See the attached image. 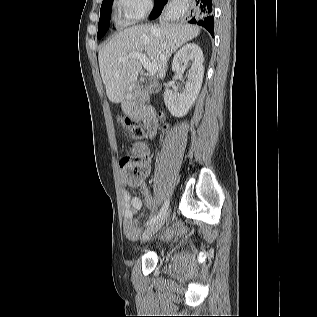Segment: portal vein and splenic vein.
I'll list each match as a JSON object with an SVG mask.
<instances>
[{
    "mask_svg": "<svg viewBox=\"0 0 317 317\" xmlns=\"http://www.w3.org/2000/svg\"><path fill=\"white\" fill-rule=\"evenodd\" d=\"M128 59H137L143 65L144 68L148 71L149 75H154L157 72V64L151 62L147 56L141 52H130L128 55L119 58L120 61H125Z\"/></svg>",
    "mask_w": 317,
    "mask_h": 317,
    "instance_id": "1",
    "label": "portal vein and splenic vein"
}]
</instances>
